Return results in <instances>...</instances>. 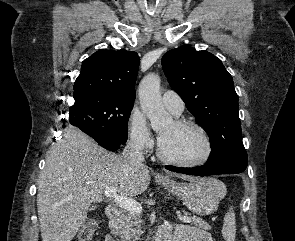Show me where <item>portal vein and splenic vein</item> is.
<instances>
[{"label":"portal vein and splenic vein","mask_w":295,"mask_h":241,"mask_svg":"<svg viewBox=\"0 0 295 241\" xmlns=\"http://www.w3.org/2000/svg\"><path fill=\"white\" fill-rule=\"evenodd\" d=\"M104 193L106 197L113 199L116 205L129 211L130 213L140 214L142 212L140 203L131 198L118 195L116 188L107 187ZM178 219L184 223H191V219L187 216H180Z\"/></svg>","instance_id":"portal-vein-and-splenic-vein-1"}]
</instances>
